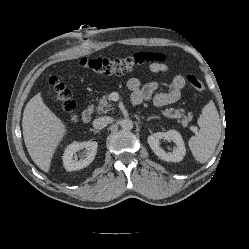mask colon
<instances>
[{
  "label": "colon",
  "instance_id": "obj_1",
  "mask_svg": "<svg viewBox=\"0 0 249 249\" xmlns=\"http://www.w3.org/2000/svg\"><path fill=\"white\" fill-rule=\"evenodd\" d=\"M165 56L161 53L140 52L128 57H96L85 58L80 61V66L88 71L99 74H125L136 69L163 64ZM187 81L197 91L205 89L204 82L194 74L187 75ZM52 94L61 110L70 114L75 109L72 93L61 80L53 76L49 80Z\"/></svg>",
  "mask_w": 249,
  "mask_h": 249
}]
</instances>
